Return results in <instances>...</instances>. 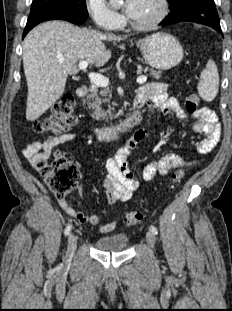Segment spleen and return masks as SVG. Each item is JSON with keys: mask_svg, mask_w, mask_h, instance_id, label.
I'll return each instance as SVG.
<instances>
[{"mask_svg": "<svg viewBox=\"0 0 232 311\" xmlns=\"http://www.w3.org/2000/svg\"><path fill=\"white\" fill-rule=\"evenodd\" d=\"M219 74L215 62L208 60L206 68L201 72L198 93L205 101H213L218 93Z\"/></svg>", "mask_w": 232, "mask_h": 311, "instance_id": "1", "label": "spleen"}]
</instances>
